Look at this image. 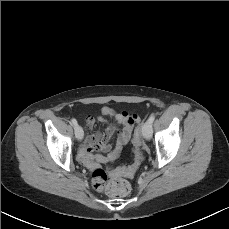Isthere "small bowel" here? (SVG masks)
Instances as JSON below:
<instances>
[{
  "mask_svg": "<svg viewBox=\"0 0 229 229\" xmlns=\"http://www.w3.org/2000/svg\"><path fill=\"white\" fill-rule=\"evenodd\" d=\"M101 114L102 116H99L97 120L105 121L104 117H109L113 121L112 125L102 132L87 135L78 147V160L90 169H95L100 164H107L116 160L123 146L129 141L135 124L139 122V118L136 115L128 112L116 113L110 107H103ZM95 121L93 117L86 118V126L92 128ZM114 124L120 125L122 130L118 132L116 143L111 147L108 141L115 134ZM96 149L106 152V155H94L93 151Z\"/></svg>",
  "mask_w": 229,
  "mask_h": 229,
  "instance_id": "obj_1",
  "label": "small bowel"
}]
</instances>
